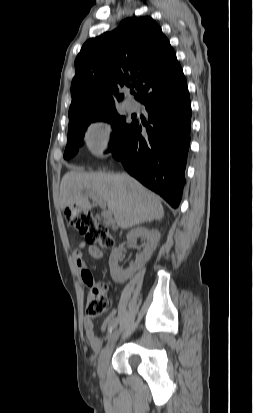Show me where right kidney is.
<instances>
[{
  "label": "right kidney",
  "mask_w": 253,
  "mask_h": 413,
  "mask_svg": "<svg viewBox=\"0 0 253 413\" xmlns=\"http://www.w3.org/2000/svg\"><path fill=\"white\" fill-rule=\"evenodd\" d=\"M138 238H141L145 242L143 250L137 254L135 262L130 264V267L127 270L120 269L118 265V262L121 260V251L119 249L112 251L109 259V267L111 277L114 281L124 282L131 278L137 270L144 267L158 245L160 233L157 230L137 227L127 234V241L129 243H136Z\"/></svg>",
  "instance_id": "1"
}]
</instances>
